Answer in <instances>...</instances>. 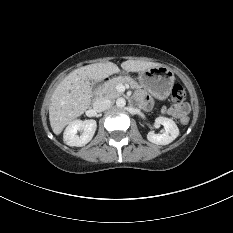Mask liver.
Listing matches in <instances>:
<instances>
[{"label":"liver","mask_w":233,"mask_h":233,"mask_svg":"<svg viewBox=\"0 0 233 233\" xmlns=\"http://www.w3.org/2000/svg\"><path fill=\"white\" fill-rule=\"evenodd\" d=\"M161 64L128 60L121 64L127 72H142ZM120 69L112 62L95 63L71 72L53 92L49 105V120L53 132L58 135L64 127L82 115L89 107L92 89L90 80L102 81Z\"/></svg>","instance_id":"obj_1"}]
</instances>
